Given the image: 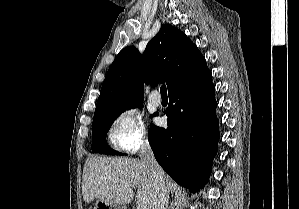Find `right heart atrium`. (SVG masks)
Returning a JSON list of instances; mask_svg holds the SVG:
<instances>
[{"label":"right heart atrium","mask_w":299,"mask_h":209,"mask_svg":"<svg viewBox=\"0 0 299 209\" xmlns=\"http://www.w3.org/2000/svg\"><path fill=\"white\" fill-rule=\"evenodd\" d=\"M108 139L113 147L126 153H135L149 145L144 119L132 109L120 110L113 116Z\"/></svg>","instance_id":"obj_1"}]
</instances>
